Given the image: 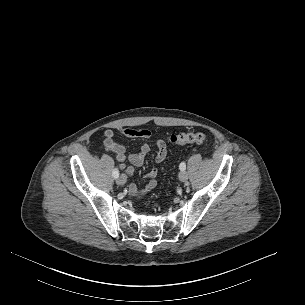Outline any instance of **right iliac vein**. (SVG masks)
I'll return each instance as SVG.
<instances>
[{"instance_id":"1","label":"right iliac vein","mask_w":305,"mask_h":305,"mask_svg":"<svg viewBox=\"0 0 305 305\" xmlns=\"http://www.w3.org/2000/svg\"><path fill=\"white\" fill-rule=\"evenodd\" d=\"M127 181V177L125 174H121L118 178H117V184L120 186H123Z\"/></svg>"}]
</instances>
